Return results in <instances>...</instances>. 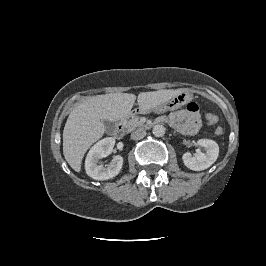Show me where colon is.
Listing matches in <instances>:
<instances>
[{
	"label": "colon",
	"mask_w": 266,
	"mask_h": 266,
	"mask_svg": "<svg viewBox=\"0 0 266 266\" xmlns=\"http://www.w3.org/2000/svg\"><path fill=\"white\" fill-rule=\"evenodd\" d=\"M205 119H206L207 123L211 124V125L216 124L217 121H218L217 116L215 114H212V113L206 114ZM215 133L217 135H221L223 133L222 127L217 126L216 129H215Z\"/></svg>",
	"instance_id": "obj_1"
}]
</instances>
